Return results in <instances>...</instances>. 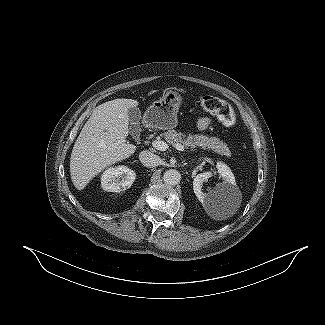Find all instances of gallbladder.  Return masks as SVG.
Here are the masks:
<instances>
[{
  "label": "gallbladder",
  "instance_id": "bac80fb5",
  "mask_svg": "<svg viewBox=\"0 0 325 325\" xmlns=\"http://www.w3.org/2000/svg\"><path fill=\"white\" fill-rule=\"evenodd\" d=\"M128 117L130 121V133L133 137H137L141 132V112L137 107L128 110Z\"/></svg>",
  "mask_w": 325,
  "mask_h": 325
}]
</instances>
